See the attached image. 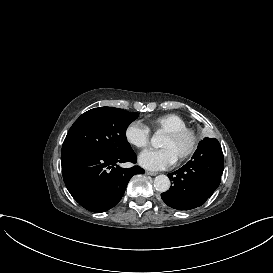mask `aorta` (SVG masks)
<instances>
[{
    "instance_id": "1",
    "label": "aorta",
    "mask_w": 273,
    "mask_h": 273,
    "mask_svg": "<svg viewBox=\"0 0 273 273\" xmlns=\"http://www.w3.org/2000/svg\"><path fill=\"white\" fill-rule=\"evenodd\" d=\"M160 144V136L158 134H154L151 139V145L154 148L159 147ZM170 180L166 175H158L154 179V187L158 192H166L170 188Z\"/></svg>"
}]
</instances>
